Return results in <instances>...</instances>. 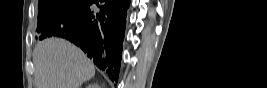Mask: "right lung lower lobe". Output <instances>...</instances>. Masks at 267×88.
I'll use <instances>...</instances> for the list:
<instances>
[{
    "label": "right lung lower lobe",
    "instance_id": "right-lung-lower-lobe-1",
    "mask_svg": "<svg viewBox=\"0 0 267 88\" xmlns=\"http://www.w3.org/2000/svg\"><path fill=\"white\" fill-rule=\"evenodd\" d=\"M91 0L72 18L55 25L49 33L80 47L95 65L117 81L122 42L130 0ZM95 3L98 7L93 6Z\"/></svg>",
    "mask_w": 267,
    "mask_h": 88
}]
</instances>
